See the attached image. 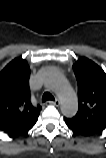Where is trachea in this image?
<instances>
[{"mask_svg": "<svg viewBox=\"0 0 106 158\" xmlns=\"http://www.w3.org/2000/svg\"><path fill=\"white\" fill-rule=\"evenodd\" d=\"M48 100L54 101L55 98H54V96H53L51 93L45 92V93L43 94V96H42V102H46V101H48Z\"/></svg>", "mask_w": 106, "mask_h": 158, "instance_id": "obj_1", "label": "trachea"}]
</instances>
